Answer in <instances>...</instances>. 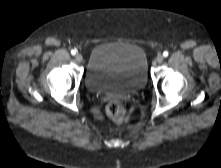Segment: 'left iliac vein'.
I'll use <instances>...</instances> for the list:
<instances>
[{
  "instance_id": "obj_1",
  "label": "left iliac vein",
  "mask_w": 221,
  "mask_h": 168,
  "mask_svg": "<svg viewBox=\"0 0 221 168\" xmlns=\"http://www.w3.org/2000/svg\"><path fill=\"white\" fill-rule=\"evenodd\" d=\"M163 60H164V57H163L162 54H159V55L156 57V61H157V63H159V64L162 63Z\"/></svg>"
}]
</instances>
